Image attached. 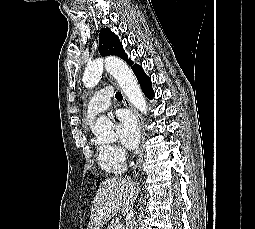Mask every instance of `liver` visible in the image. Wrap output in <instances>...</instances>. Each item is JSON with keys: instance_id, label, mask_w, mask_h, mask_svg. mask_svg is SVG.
<instances>
[{"instance_id": "liver-1", "label": "liver", "mask_w": 255, "mask_h": 229, "mask_svg": "<svg viewBox=\"0 0 255 229\" xmlns=\"http://www.w3.org/2000/svg\"><path fill=\"white\" fill-rule=\"evenodd\" d=\"M138 191L129 178H107L100 183L91 207L87 229H100L120 210L128 213L133 206Z\"/></svg>"}]
</instances>
